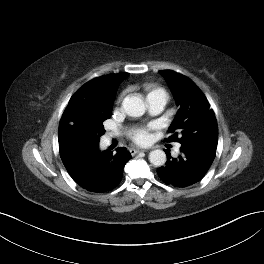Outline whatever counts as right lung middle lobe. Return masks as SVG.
I'll use <instances>...</instances> for the list:
<instances>
[{"instance_id": "right-lung-middle-lobe-1", "label": "right lung middle lobe", "mask_w": 264, "mask_h": 264, "mask_svg": "<svg viewBox=\"0 0 264 264\" xmlns=\"http://www.w3.org/2000/svg\"><path fill=\"white\" fill-rule=\"evenodd\" d=\"M112 107L96 113L95 115L83 118L69 126L63 134L60 142L80 139V140H100L104 134L103 122L111 117Z\"/></svg>"}]
</instances>
